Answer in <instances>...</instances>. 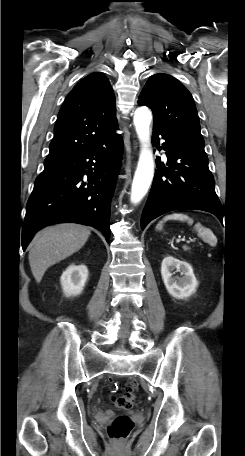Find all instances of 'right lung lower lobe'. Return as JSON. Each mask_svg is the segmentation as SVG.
<instances>
[{"label": "right lung lower lobe", "instance_id": "1", "mask_svg": "<svg viewBox=\"0 0 245 456\" xmlns=\"http://www.w3.org/2000/svg\"><path fill=\"white\" fill-rule=\"evenodd\" d=\"M121 154L122 139L113 133L63 163L44 167L27 202L23 250L39 229L61 222L92 226L109 242L110 204Z\"/></svg>", "mask_w": 245, "mask_h": 456}]
</instances>
